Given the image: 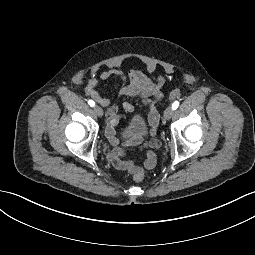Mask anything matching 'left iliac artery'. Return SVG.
<instances>
[{"mask_svg": "<svg viewBox=\"0 0 255 255\" xmlns=\"http://www.w3.org/2000/svg\"><path fill=\"white\" fill-rule=\"evenodd\" d=\"M178 106H179V102H178V101H175V102L172 104L173 110L177 109Z\"/></svg>", "mask_w": 255, "mask_h": 255, "instance_id": "obj_1", "label": "left iliac artery"}]
</instances>
